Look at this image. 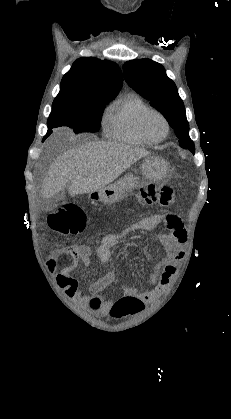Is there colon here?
Instances as JSON below:
<instances>
[{
  "label": "colon",
  "mask_w": 231,
  "mask_h": 419,
  "mask_svg": "<svg viewBox=\"0 0 231 419\" xmlns=\"http://www.w3.org/2000/svg\"><path fill=\"white\" fill-rule=\"evenodd\" d=\"M137 197L139 204L145 207L154 204L171 207L177 201L175 191L170 185L149 184L141 188ZM49 224L54 231L60 234L78 233L84 226V214L78 206L66 204L50 214ZM53 260L57 262V258ZM143 308L144 303L140 298L125 295L113 304L110 315L115 319H120L137 314Z\"/></svg>",
  "instance_id": "obj_1"
}]
</instances>
